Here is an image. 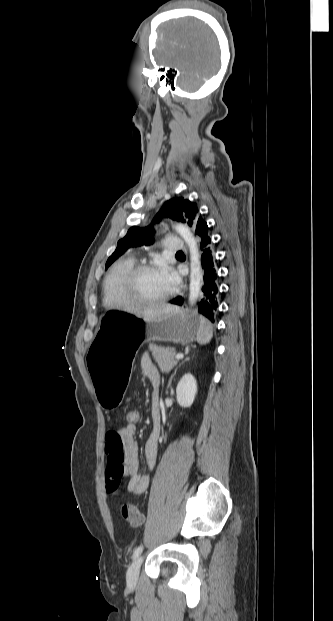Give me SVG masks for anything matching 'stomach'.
I'll return each instance as SVG.
<instances>
[{"instance_id": "1", "label": "stomach", "mask_w": 333, "mask_h": 621, "mask_svg": "<svg viewBox=\"0 0 333 621\" xmlns=\"http://www.w3.org/2000/svg\"><path fill=\"white\" fill-rule=\"evenodd\" d=\"M198 317H186L180 308L146 321L133 314L110 310L99 322L97 335L88 346L90 378L102 409L116 412L129 384L134 355L145 342L168 341L187 344L195 339Z\"/></svg>"}]
</instances>
